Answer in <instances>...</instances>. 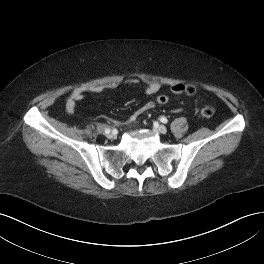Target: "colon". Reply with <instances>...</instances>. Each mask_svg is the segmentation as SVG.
<instances>
[{
    "label": "colon",
    "mask_w": 264,
    "mask_h": 264,
    "mask_svg": "<svg viewBox=\"0 0 264 264\" xmlns=\"http://www.w3.org/2000/svg\"><path fill=\"white\" fill-rule=\"evenodd\" d=\"M184 92L188 95H193L196 92V89L193 85H185ZM159 105H165L168 103L169 98L166 95H159L156 99ZM198 114L203 118H210L215 114L214 107L210 105L201 106L198 109Z\"/></svg>",
    "instance_id": "colon-1"
}]
</instances>
